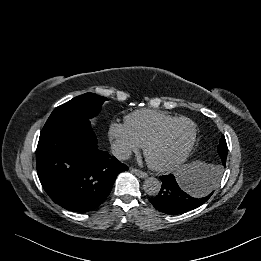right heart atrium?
Segmentation results:
<instances>
[{
    "mask_svg": "<svg viewBox=\"0 0 261 261\" xmlns=\"http://www.w3.org/2000/svg\"><path fill=\"white\" fill-rule=\"evenodd\" d=\"M108 138L114 154L122 159L128 158L141 147L123 123L111 122L108 127Z\"/></svg>",
    "mask_w": 261,
    "mask_h": 261,
    "instance_id": "1",
    "label": "right heart atrium"
}]
</instances>
